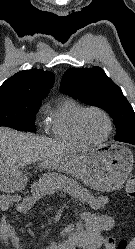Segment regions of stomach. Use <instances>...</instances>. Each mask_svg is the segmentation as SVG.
I'll return each instance as SVG.
<instances>
[{
	"mask_svg": "<svg viewBox=\"0 0 135 249\" xmlns=\"http://www.w3.org/2000/svg\"><path fill=\"white\" fill-rule=\"evenodd\" d=\"M133 163L134 154L129 148L118 144H103L69 150L63 155L47 159L39 167L56 171L47 175L49 180L45 189H55L59 181L65 180L60 174L64 173L82 180L91 189L109 192L124 184ZM1 179L11 188L18 189L26 183L27 174L19 167L7 168Z\"/></svg>",
	"mask_w": 135,
	"mask_h": 249,
	"instance_id": "0dacf381",
	"label": "stomach"
}]
</instances>
